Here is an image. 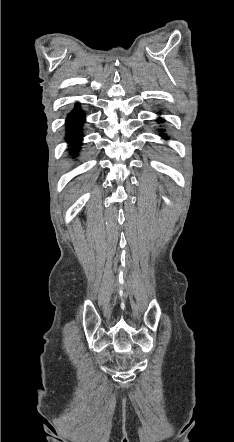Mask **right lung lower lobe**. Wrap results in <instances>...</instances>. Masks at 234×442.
Returning <instances> with one entry per match:
<instances>
[{"mask_svg": "<svg viewBox=\"0 0 234 442\" xmlns=\"http://www.w3.org/2000/svg\"><path fill=\"white\" fill-rule=\"evenodd\" d=\"M84 123V113L80 110L79 106L76 105L75 109L70 113L67 118V129H68V141L73 145V149L77 150L79 148V142H81L80 131Z\"/></svg>", "mask_w": 234, "mask_h": 442, "instance_id": "98d812e1", "label": "right lung lower lobe"}]
</instances>
